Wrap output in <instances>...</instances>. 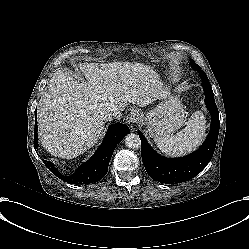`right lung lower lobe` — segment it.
<instances>
[{
  "instance_id": "98d812e1",
  "label": "right lung lower lobe",
  "mask_w": 249,
  "mask_h": 249,
  "mask_svg": "<svg viewBox=\"0 0 249 249\" xmlns=\"http://www.w3.org/2000/svg\"><path fill=\"white\" fill-rule=\"evenodd\" d=\"M36 116V115H35ZM37 119V117H36ZM130 132V129L125 124H112L109 126L105 138L97 149L95 155L86 163L81 165L76 173L72 176L61 175L54 165L49 161H44V164L50 169L52 173L62 180L71 184H86L94 183L102 179L107 171L109 161L112 157L114 149L117 144ZM37 121L34 129V147L37 148Z\"/></svg>"
}]
</instances>
